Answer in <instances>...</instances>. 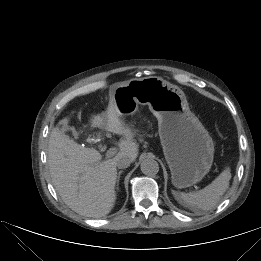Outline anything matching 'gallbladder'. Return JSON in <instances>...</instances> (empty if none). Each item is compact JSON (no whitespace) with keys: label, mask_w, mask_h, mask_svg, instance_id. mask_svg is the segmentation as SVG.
I'll use <instances>...</instances> for the list:
<instances>
[{"label":"gallbladder","mask_w":261,"mask_h":261,"mask_svg":"<svg viewBox=\"0 0 261 261\" xmlns=\"http://www.w3.org/2000/svg\"><path fill=\"white\" fill-rule=\"evenodd\" d=\"M67 130H69V127L63 125V126H62V131L65 132V131H67Z\"/></svg>","instance_id":"1"}]
</instances>
